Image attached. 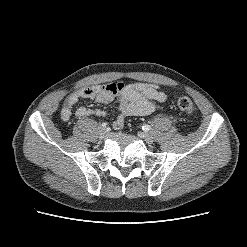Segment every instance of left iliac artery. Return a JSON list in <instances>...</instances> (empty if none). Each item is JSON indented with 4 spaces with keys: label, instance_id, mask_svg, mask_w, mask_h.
I'll return each mask as SVG.
<instances>
[{
    "label": "left iliac artery",
    "instance_id": "44dca946",
    "mask_svg": "<svg viewBox=\"0 0 247 247\" xmlns=\"http://www.w3.org/2000/svg\"><path fill=\"white\" fill-rule=\"evenodd\" d=\"M142 129L143 131L148 132L151 129V127L149 125H144L142 126Z\"/></svg>",
    "mask_w": 247,
    "mask_h": 247
}]
</instances>
